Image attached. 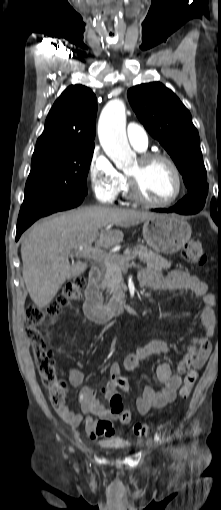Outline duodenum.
Here are the masks:
<instances>
[{
	"label": "duodenum",
	"mask_w": 221,
	"mask_h": 510,
	"mask_svg": "<svg viewBox=\"0 0 221 510\" xmlns=\"http://www.w3.org/2000/svg\"><path fill=\"white\" fill-rule=\"evenodd\" d=\"M101 269L94 266L90 269L88 285L85 290L83 311L87 318L94 323H105L116 315L127 311L130 303L125 298L112 300L108 307L103 308V298L100 289Z\"/></svg>",
	"instance_id": "obj_1"
}]
</instances>
